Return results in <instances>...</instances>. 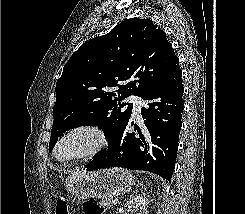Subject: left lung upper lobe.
<instances>
[{
  "label": "left lung upper lobe",
  "instance_id": "1",
  "mask_svg": "<svg viewBox=\"0 0 245 214\" xmlns=\"http://www.w3.org/2000/svg\"><path fill=\"white\" fill-rule=\"evenodd\" d=\"M178 63L165 32L150 19L130 18L108 34L87 40L56 83L49 151L64 132L82 125H98L110 146L132 112V104L120 101L142 97Z\"/></svg>",
  "mask_w": 245,
  "mask_h": 214
}]
</instances>
